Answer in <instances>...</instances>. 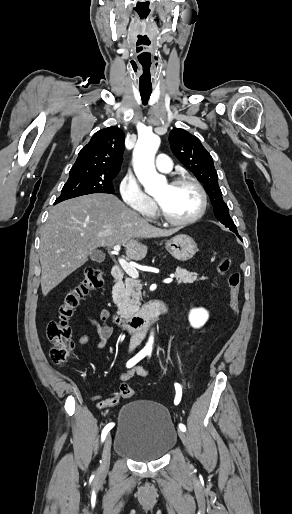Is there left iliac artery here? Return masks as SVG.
<instances>
[{"label": "left iliac artery", "instance_id": "obj_1", "mask_svg": "<svg viewBox=\"0 0 292 514\" xmlns=\"http://www.w3.org/2000/svg\"><path fill=\"white\" fill-rule=\"evenodd\" d=\"M148 355L150 356V353H148ZM174 386H175V390H176L175 404H178L180 402V399L182 396V388L179 383H175ZM179 429L183 432L186 431V427L182 423L179 424Z\"/></svg>", "mask_w": 292, "mask_h": 514}]
</instances>
